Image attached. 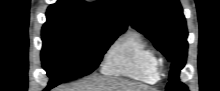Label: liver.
<instances>
[{"label":"liver","instance_id":"liver-1","mask_svg":"<svg viewBox=\"0 0 220 91\" xmlns=\"http://www.w3.org/2000/svg\"><path fill=\"white\" fill-rule=\"evenodd\" d=\"M55 91H152L148 86L120 78L94 76L80 84L59 87Z\"/></svg>","mask_w":220,"mask_h":91}]
</instances>
